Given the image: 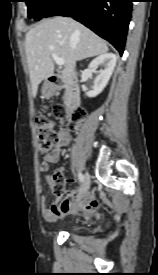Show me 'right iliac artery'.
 I'll list each match as a JSON object with an SVG mask.
<instances>
[{"label":"right iliac artery","instance_id":"right-iliac-artery-1","mask_svg":"<svg viewBox=\"0 0 158 275\" xmlns=\"http://www.w3.org/2000/svg\"><path fill=\"white\" fill-rule=\"evenodd\" d=\"M78 178H79L80 182H83L84 176L82 173H80V172L78 173Z\"/></svg>","mask_w":158,"mask_h":275}]
</instances>
